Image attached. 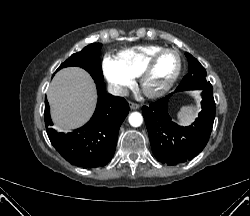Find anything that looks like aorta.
<instances>
[{
  "instance_id": "762f6f07",
  "label": "aorta",
  "mask_w": 250,
  "mask_h": 216,
  "mask_svg": "<svg viewBox=\"0 0 250 216\" xmlns=\"http://www.w3.org/2000/svg\"><path fill=\"white\" fill-rule=\"evenodd\" d=\"M143 122V117L139 112H133L129 116V123L133 127L141 126Z\"/></svg>"
}]
</instances>
